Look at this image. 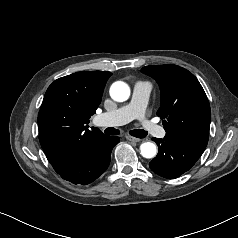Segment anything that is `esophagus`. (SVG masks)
I'll list each match as a JSON object with an SVG mask.
<instances>
[{
  "label": "esophagus",
  "instance_id": "34e87169",
  "mask_svg": "<svg viewBox=\"0 0 238 238\" xmlns=\"http://www.w3.org/2000/svg\"><path fill=\"white\" fill-rule=\"evenodd\" d=\"M126 139L131 141V142H140L141 141V139L133 137L131 135H126Z\"/></svg>",
  "mask_w": 238,
  "mask_h": 238
}]
</instances>
